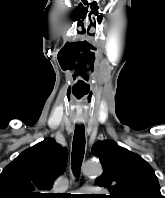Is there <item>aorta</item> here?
I'll use <instances>...</instances> for the list:
<instances>
[{
  "instance_id": "1",
  "label": "aorta",
  "mask_w": 165,
  "mask_h": 198,
  "mask_svg": "<svg viewBox=\"0 0 165 198\" xmlns=\"http://www.w3.org/2000/svg\"><path fill=\"white\" fill-rule=\"evenodd\" d=\"M83 173L87 176H98L102 173V167L99 163L87 162L83 166Z\"/></svg>"
}]
</instances>
